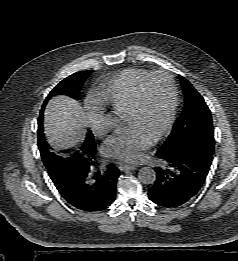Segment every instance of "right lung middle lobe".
<instances>
[{
    "label": "right lung middle lobe",
    "instance_id": "1",
    "mask_svg": "<svg viewBox=\"0 0 238 261\" xmlns=\"http://www.w3.org/2000/svg\"><path fill=\"white\" fill-rule=\"evenodd\" d=\"M91 72L92 70L77 72L62 80L49 93L42 108H44L48 99L53 95L65 94L71 97H76ZM43 138L42 113H40L38 120V147L44 165L46 166L49 176L54 183L66 181L76 170L75 167H83V164L91 163L94 159L96 145L90 131L87 133L85 141L78 150L71 154L68 153L65 155H57L51 152L49 150V145Z\"/></svg>",
    "mask_w": 238,
    "mask_h": 261
}]
</instances>
